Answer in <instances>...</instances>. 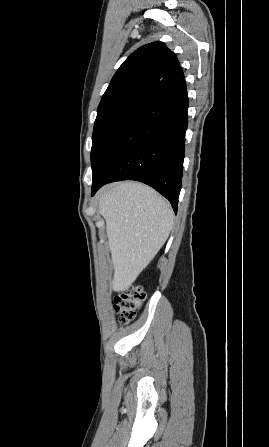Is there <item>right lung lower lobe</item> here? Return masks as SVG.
<instances>
[{"label":"right lung lower lobe","instance_id":"1","mask_svg":"<svg viewBox=\"0 0 269 447\" xmlns=\"http://www.w3.org/2000/svg\"><path fill=\"white\" fill-rule=\"evenodd\" d=\"M185 80L164 89L148 105L130 113L92 164V192L120 180L143 182L177 212L185 131L188 125Z\"/></svg>","mask_w":269,"mask_h":447}]
</instances>
